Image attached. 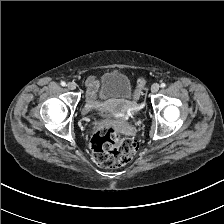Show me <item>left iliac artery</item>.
I'll return each mask as SVG.
<instances>
[{"label":"left iliac artery","mask_w":224,"mask_h":224,"mask_svg":"<svg viewBox=\"0 0 224 224\" xmlns=\"http://www.w3.org/2000/svg\"><path fill=\"white\" fill-rule=\"evenodd\" d=\"M162 88H164L165 86H166V84L165 83H161V85H160Z\"/></svg>","instance_id":"left-iliac-artery-1"}]
</instances>
